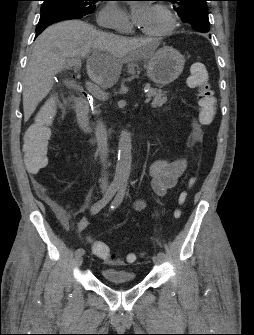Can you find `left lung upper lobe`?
I'll list each match as a JSON object with an SVG mask.
<instances>
[{
  "label": "left lung upper lobe",
  "mask_w": 254,
  "mask_h": 335,
  "mask_svg": "<svg viewBox=\"0 0 254 335\" xmlns=\"http://www.w3.org/2000/svg\"><path fill=\"white\" fill-rule=\"evenodd\" d=\"M175 4L174 10L183 22L199 32H208L210 23L207 12L208 0H169Z\"/></svg>",
  "instance_id": "obj_1"
}]
</instances>
